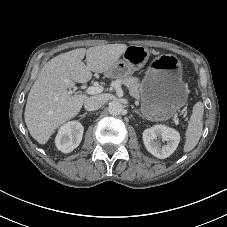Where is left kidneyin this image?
Masks as SVG:
<instances>
[{
  "label": "left kidney",
  "instance_id": "obj_1",
  "mask_svg": "<svg viewBox=\"0 0 227 227\" xmlns=\"http://www.w3.org/2000/svg\"><path fill=\"white\" fill-rule=\"evenodd\" d=\"M167 144L161 146L160 140ZM143 142L146 149L155 157L165 159L169 157L178 147L180 134L175 129L164 125H155L143 132Z\"/></svg>",
  "mask_w": 227,
  "mask_h": 227
}]
</instances>
